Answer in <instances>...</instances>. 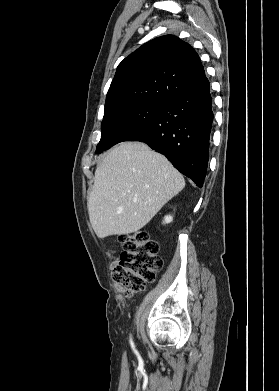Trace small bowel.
<instances>
[{
    "instance_id": "c3829d8e",
    "label": "small bowel",
    "mask_w": 279,
    "mask_h": 391,
    "mask_svg": "<svg viewBox=\"0 0 279 391\" xmlns=\"http://www.w3.org/2000/svg\"><path fill=\"white\" fill-rule=\"evenodd\" d=\"M117 263L115 262V263H113V265H116Z\"/></svg>"
}]
</instances>
